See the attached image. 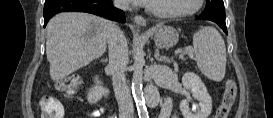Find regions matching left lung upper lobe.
<instances>
[{
  "label": "left lung upper lobe",
  "instance_id": "left-lung-upper-lobe-1",
  "mask_svg": "<svg viewBox=\"0 0 273 118\" xmlns=\"http://www.w3.org/2000/svg\"><path fill=\"white\" fill-rule=\"evenodd\" d=\"M200 16L225 22L223 0H207L206 7Z\"/></svg>",
  "mask_w": 273,
  "mask_h": 118
}]
</instances>
